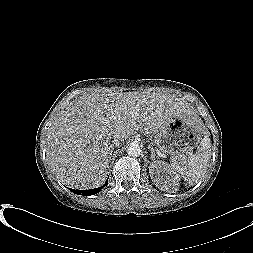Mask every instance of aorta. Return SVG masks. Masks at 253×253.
I'll list each match as a JSON object with an SVG mask.
<instances>
[{"label": "aorta", "instance_id": "1", "mask_svg": "<svg viewBox=\"0 0 253 253\" xmlns=\"http://www.w3.org/2000/svg\"><path fill=\"white\" fill-rule=\"evenodd\" d=\"M127 153L129 156L132 157H137L141 154V148L137 143H131L128 147H127Z\"/></svg>", "mask_w": 253, "mask_h": 253}]
</instances>
